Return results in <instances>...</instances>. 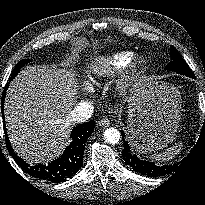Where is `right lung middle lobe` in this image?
I'll return each mask as SVG.
<instances>
[{
    "label": "right lung middle lobe",
    "mask_w": 205,
    "mask_h": 205,
    "mask_svg": "<svg viewBox=\"0 0 205 205\" xmlns=\"http://www.w3.org/2000/svg\"><path fill=\"white\" fill-rule=\"evenodd\" d=\"M28 63H29V60L27 59H23L19 61L17 65L15 66V69L13 70L9 81H11L19 73L20 69Z\"/></svg>",
    "instance_id": "obj_1"
}]
</instances>
